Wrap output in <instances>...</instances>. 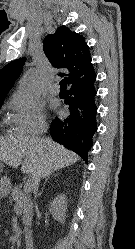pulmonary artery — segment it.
<instances>
[{"instance_id": "pulmonary-artery-1", "label": "pulmonary artery", "mask_w": 135, "mask_h": 249, "mask_svg": "<svg viewBox=\"0 0 135 249\" xmlns=\"http://www.w3.org/2000/svg\"><path fill=\"white\" fill-rule=\"evenodd\" d=\"M59 91H60V88H59V86H58L57 83H54V84H52V85L49 87V93H50L51 95H57V94L59 93Z\"/></svg>"}]
</instances>
